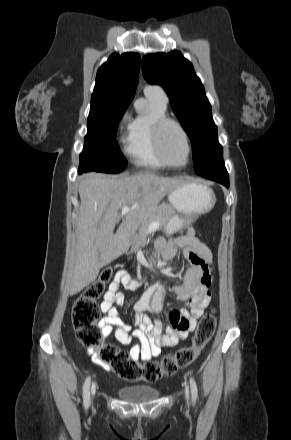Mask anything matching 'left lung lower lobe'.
<instances>
[{"label": "left lung lower lobe", "instance_id": "0a47b994", "mask_svg": "<svg viewBox=\"0 0 291 440\" xmlns=\"http://www.w3.org/2000/svg\"><path fill=\"white\" fill-rule=\"evenodd\" d=\"M198 175L219 182L225 185L227 188L229 187V175L225 168L223 159L217 161L209 169L199 173Z\"/></svg>", "mask_w": 291, "mask_h": 440}]
</instances>
